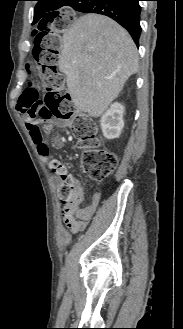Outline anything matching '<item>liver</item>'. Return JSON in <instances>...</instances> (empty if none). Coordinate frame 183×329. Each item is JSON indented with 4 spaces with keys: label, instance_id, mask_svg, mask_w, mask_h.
<instances>
[{
    "label": "liver",
    "instance_id": "1",
    "mask_svg": "<svg viewBox=\"0 0 183 329\" xmlns=\"http://www.w3.org/2000/svg\"><path fill=\"white\" fill-rule=\"evenodd\" d=\"M59 70L75 106L99 117L138 71L137 48L115 21L87 14L64 32Z\"/></svg>",
    "mask_w": 183,
    "mask_h": 329
}]
</instances>
